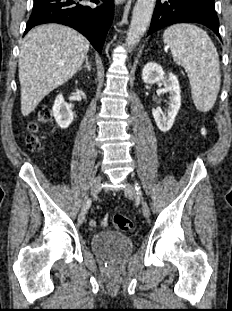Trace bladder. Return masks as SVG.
Returning <instances> with one entry per match:
<instances>
[{
    "mask_svg": "<svg viewBox=\"0 0 232 311\" xmlns=\"http://www.w3.org/2000/svg\"><path fill=\"white\" fill-rule=\"evenodd\" d=\"M91 246L96 253L120 257L131 252L133 242L123 233L105 230L92 236Z\"/></svg>",
    "mask_w": 232,
    "mask_h": 311,
    "instance_id": "bladder-1",
    "label": "bladder"
}]
</instances>
